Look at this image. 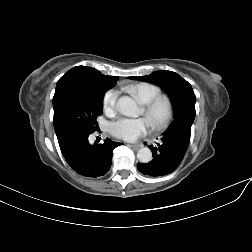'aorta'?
<instances>
[{"label": "aorta", "instance_id": "762f6f07", "mask_svg": "<svg viewBox=\"0 0 252 252\" xmlns=\"http://www.w3.org/2000/svg\"><path fill=\"white\" fill-rule=\"evenodd\" d=\"M117 106L120 112L128 117H136L139 113L136 102L128 96L120 97ZM137 158L141 163H148L152 160V152L148 147H143L137 152Z\"/></svg>", "mask_w": 252, "mask_h": 252}]
</instances>
